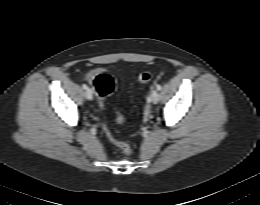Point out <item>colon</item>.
I'll return each instance as SVG.
<instances>
[{"instance_id":"5ec220e1","label":"colon","mask_w":260,"mask_h":205,"mask_svg":"<svg viewBox=\"0 0 260 205\" xmlns=\"http://www.w3.org/2000/svg\"><path fill=\"white\" fill-rule=\"evenodd\" d=\"M152 77L153 74L150 71L145 70L139 73L138 81L142 84H145L150 82L152 80ZM93 85L101 100H105L111 97L116 89V81L111 75H109L106 72H99L93 80ZM103 105L104 104L101 101L100 106L103 107ZM116 120L119 123H123L125 122L126 119L123 115L116 114ZM104 131L106 132L108 137L112 140V142L117 147H119L125 154H131L130 146L123 140L117 138L106 124H104Z\"/></svg>"}]
</instances>
